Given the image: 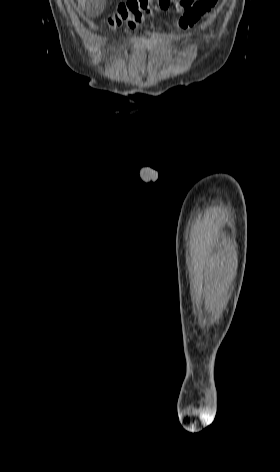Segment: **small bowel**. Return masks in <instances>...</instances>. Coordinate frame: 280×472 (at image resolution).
Listing matches in <instances>:
<instances>
[{
  "instance_id": "c3829d8e",
  "label": "small bowel",
  "mask_w": 280,
  "mask_h": 472,
  "mask_svg": "<svg viewBox=\"0 0 280 472\" xmlns=\"http://www.w3.org/2000/svg\"><path fill=\"white\" fill-rule=\"evenodd\" d=\"M174 9L180 13L177 21L179 29H187L195 25L208 12L217 0H181ZM212 1V2H209Z\"/></svg>"
}]
</instances>
